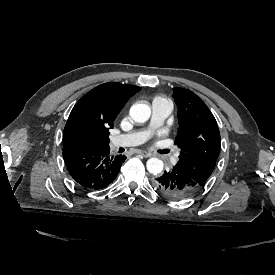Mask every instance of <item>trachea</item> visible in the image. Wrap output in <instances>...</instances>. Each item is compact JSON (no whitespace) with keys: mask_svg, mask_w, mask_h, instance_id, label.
<instances>
[{"mask_svg":"<svg viewBox=\"0 0 275 275\" xmlns=\"http://www.w3.org/2000/svg\"><path fill=\"white\" fill-rule=\"evenodd\" d=\"M168 152H169V150H168V149H166V150H164V151H163V153H168Z\"/></svg>","mask_w":275,"mask_h":275,"instance_id":"1","label":"trachea"}]
</instances>
